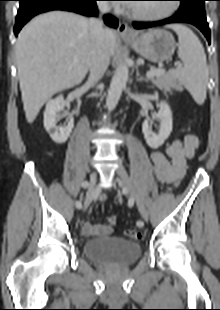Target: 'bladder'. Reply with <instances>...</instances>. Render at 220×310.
<instances>
[{"mask_svg": "<svg viewBox=\"0 0 220 310\" xmlns=\"http://www.w3.org/2000/svg\"><path fill=\"white\" fill-rule=\"evenodd\" d=\"M82 247L88 259L105 266L131 265L140 258L142 252L139 243L119 237L90 239Z\"/></svg>", "mask_w": 220, "mask_h": 310, "instance_id": "obj_1", "label": "bladder"}]
</instances>
